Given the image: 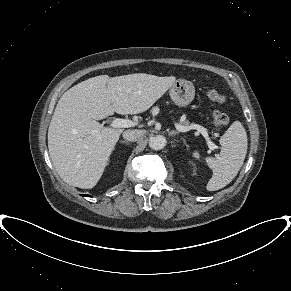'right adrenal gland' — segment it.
<instances>
[{"label": "right adrenal gland", "mask_w": 291, "mask_h": 291, "mask_svg": "<svg viewBox=\"0 0 291 291\" xmlns=\"http://www.w3.org/2000/svg\"><path fill=\"white\" fill-rule=\"evenodd\" d=\"M121 143H124V144H127V145H129L130 143L128 142V141H126V140H122V141H120Z\"/></svg>", "instance_id": "right-adrenal-gland-1"}]
</instances>
